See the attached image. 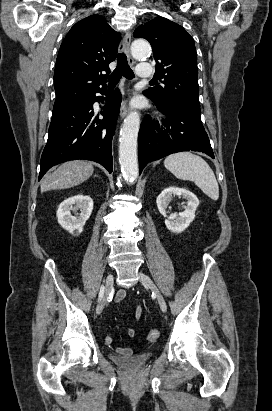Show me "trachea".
I'll return each mask as SVG.
<instances>
[{"instance_id":"1","label":"trachea","mask_w":272,"mask_h":411,"mask_svg":"<svg viewBox=\"0 0 272 411\" xmlns=\"http://www.w3.org/2000/svg\"><path fill=\"white\" fill-rule=\"evenodd\" d=\"M122 76L127 79H133L134 73L128 65L126 55L124 53H119L117 58V67L109 78V86H115Z\"/></svg>"}]
</instances>
